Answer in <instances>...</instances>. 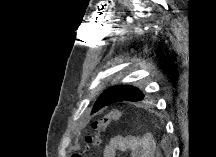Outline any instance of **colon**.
Instances as JSON below:
<instances>
[{
  "label": "colon",
  "mask_w": 216,
  "mask_h": 157,
  "mask_svg": "<svg viewBox=\"0 0 216 157\" xmlns=\"http://www.w3.org/2000/svg\"><path fill=\"white\" fill-rule=\"evenodd\" d=\"M122 118V111L119 109L111 110L107 115L104 117L96 120L92 124V131L87 136V150H92L100 146L102 142V135L106 128L114 122L119 121ZM71 157H81L80 153H73Z\"/></svg>",
  "instance_id": "obj_1"
}]
</instances>
